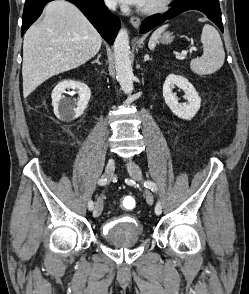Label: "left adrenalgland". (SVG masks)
I'll list each match as a JSON object with an SVG mask.
<instances>
[{"label": "left adrenal gland", "instance_id": "obj_1", "mask_svg": "<svg viewBox=\"0 0 249 294\" xmlns=\"http://www.w3.org/2000/svg\"><path fill=\"white\" fill-rule=\"evenodd\" d=\"M147 60H150V57H149L148 54H146V55L144 56V61H147Z\"/></svg>", "mask_w": 249, "mask_h": 294}]
</instances>
